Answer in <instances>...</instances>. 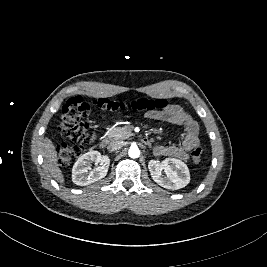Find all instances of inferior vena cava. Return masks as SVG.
Instances as JSON below:
<instances>
[{"mask_svg": "<svg viewBox=\"0 0 267 267\" xmlns=\"http://www.w3.org/2000/svg\"><path fill=\"white\" fill-rule=\"evenodd\" d=\"M122 146H123V142L122 141H112L107 146V149L110 152H114V151L119 150Z\"/></svg>", "mask_w": 267, "mask_h": 267, "instance_id": "obj_1", "label": "inferior vena cava"}]
</instances>
